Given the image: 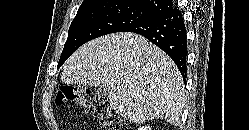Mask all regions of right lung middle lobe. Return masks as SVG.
<instances>
[{
  "instance_id": "obj_1",
  "label": "right lung middle lobe",
  "mask_w": 249,
  "mask_h": 130,
  "mask_svg": "<svg viewBox=\"0 0 249 130\" xmlns=\"http://www.w3.org/2000/svg\"><path fill=\"white\" fill-rule=\"evenodd\" d=\"M159 16L130 4L99 2L80 6L71 23L58 68L84 43L102 35L124 32Z\"/></svg>"
}]
</instances>
